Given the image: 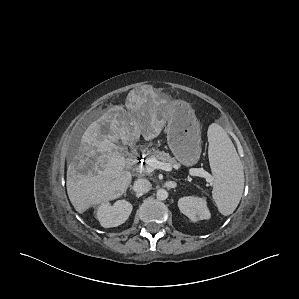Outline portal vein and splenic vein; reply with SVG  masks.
I'll return each instance as SVG.
<instances>
[{
  "mask_svg": "<svg viewBox=\"0 0 299 299\" xmlns=\"http://www.w3.org/2000/svg\"><path fill=\"white\" fill-rule=\"evenodd\" d=\"M155 169H161L164 171H170L171 170V165L168 163H163L161 161H158L155 158L149 159L146 162V166L144 168L145 172H153ZM190 174L192 176H199V177H203L207 180V182H212L213 177L205 170L203 169H198V168H192L190 169Z\"/></svg>",
  "mask_w": 299,
  "mask_h": 299,
  "instance_id": "1",
  "label": "portal vein and splenic vein"
}]
</instances>
